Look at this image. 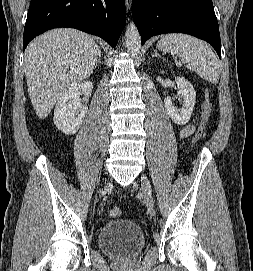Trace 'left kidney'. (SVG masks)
Here are the masks:
<instances>
[{"label": "left kidney", "mask_w": 253, "mask_h": 271, "mask_svg": "<svg viewBox=\"0 0 253 271\" xmlns=\"http://www.w3.org/2000/svg\"><path fill=\"white\" fill-rule=\"evenodd\" d=\"M179 97L183 100L182 108H177L172 103L171 97L164 99L165 109L175 124L185 125L189 122L194 109L196 92L193 85L184 77H176Z\"/></svg>", "instance_id": "obj_1"}]
</instances>
